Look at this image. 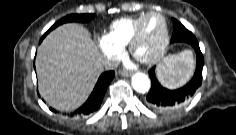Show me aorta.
Returning <instances> with one entry per match:
<instances>
[{
  "label": "aorta",
  "mask_w": 236,
  "mask_h": 135,
  "mask_svg": "<svg viewBox=\"0 0 236 135\" xmlns=\"http://www.w3.org/2000/svg\"><path fill=\"white\" fill-rule=\"evenodd\" d=\"M132 86L135 91L145 93L150 89V80L144 73H136L132 77Z\"/></svg>",
  "instance_id": "obj_1"
}]
</instances>
